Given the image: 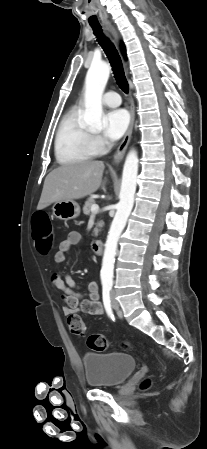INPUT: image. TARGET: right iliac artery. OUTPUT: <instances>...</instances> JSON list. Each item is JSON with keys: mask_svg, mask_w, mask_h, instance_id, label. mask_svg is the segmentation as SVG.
Masks as SVG:
<instances>
[{"mask_svg": "<svg viewBox=\"0 0 207 449\" xmlns=\"http://www.w3.org/2000/svg\"><path fill=\"white\" fill-rule=\"evenodd\" d=\"M110 287H104L103 291H102V298H103V303H104V307L105 310L108 314V316L114 320V314H113V310H112V306H111V299H110Z\"/></svg>", "mask_w": 207, "mask_h": 449, "instance_id": "obj_1", "label": "right iliac artery"}]
</instances>
